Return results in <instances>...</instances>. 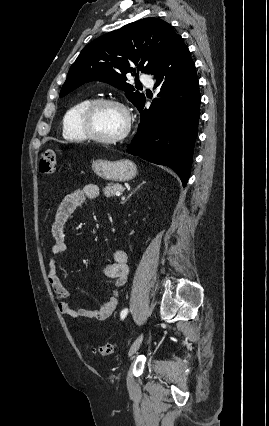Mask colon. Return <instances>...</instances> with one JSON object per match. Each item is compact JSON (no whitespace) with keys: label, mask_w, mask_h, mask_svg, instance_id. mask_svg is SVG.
I'll return each instance as SVG.
<instances>
[{"label":"colon","mask_w":269,"mask_h":426,"mask_svg":"<svg viewBox=\"0 0 269 426\" xmlns=\"http://www.w3.org/2000/svg\"><path fill=\"white\" fill-rule=\"evenodd\" d=\"M56 153L53 150L44 151L39 158V170L42 174H53L56 171ZM94 352L101 356H108L113 352V344L110 342L103 343L96 348Z\"/></svg>","instance_id":"1"}]
</instances>
